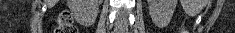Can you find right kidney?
<instances>
[{"instance_id":"right-kidney-1","label":"right kidney","mask_w":235,"mask_h":33,"mask_svg":"<svg viewBox=\"0 0 235 33\" xmlns=\"http://www.w3.org/2000/svg\"><path fill=\"white\" fill-rule=\"evenodd\" d=\"M101 0H68V7L77 19L94 21L99 11Z\"/></svg>"}]
</instances>
